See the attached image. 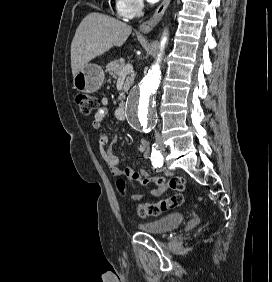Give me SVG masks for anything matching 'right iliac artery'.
Wrapping results in <instances>:
<instances>
[{"label":"right iliac artery","instance_id":"obj_1","mask_svg":"<svg viewBox=\"0 0 272 282\" xmlns=\"http://www.w3.org/2000/svg\"><path fill=\"white\" fill-rule=\"evenodd\" d=\"M155 148L153 147L152 149V154H151V161H152V165L154 167H161L163 165L164 159L162 154L156 150L157 145L154 144Z\"/></svg>","mask_w":272,"mask_h":282}]
</instances>
